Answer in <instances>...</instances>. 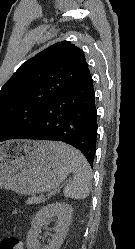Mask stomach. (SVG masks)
Segmentation results:
<instances>
[{
	"label": "stomach",
	"instance_id": "stomach-1",
	"mask_svg": "<svg viewBox=\"0 0 135 249\" xmlns=\"http://www.w3.org/2000/svg\"><path fill=\"white\" fill-rule=\"evenodd\" d=\"M48 141H11L0 146V187L23 195L57 188L72 171L71 162Z\"/></svg>",
	"mask_w": 135,
	"mask_h": 249
}]
</instances>
